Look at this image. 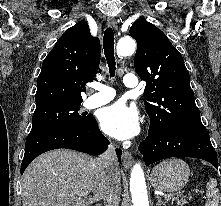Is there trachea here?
I'll list each match as a JSON object with an SVG mask.
<instances>
[{
  "label": "trachea",
  "instance_id": "3493384b",
  "mask_svg": "<svg viewBox=\"0 0 221 206\" xmlns=\"http://www.w3.org/2000/svg\"><path fill=\"white\" fill-rule=\"evenodd\" d=\"M103 46H104V54L109 67L110 76L114 77L116 71V62L114 57V32L110 27H108L105 30Z\"/></svg>",
  "mask_w": 221,
  "mask_h": 206
}]
</instances>
